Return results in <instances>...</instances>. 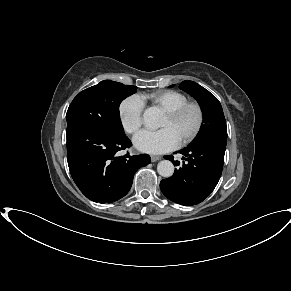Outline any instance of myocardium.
Instances as JSON below:
<instances>
[{
    "mask_svg": "<svg viewBox=\"0 0 291 291\" xmlns=\"http://www.w3.org/2000/svg\"><path fill=\"white\" fill-rule=\"evenodd\" d=\"M189 110H194L196 112L197 121H196V125H195L193 131L179 142L178 145L181 147L186 146V145L190 144L191 142H193L200 134V132L203 128L204 119H205L203 107L201 106L200 103H198L196 101H187V102L183 103L182 105L178 106L177 108H174L172 110L165 112V115L171 121H175V120L179 119L180 117H182Z\"/></svg>",
    "mask_w": 291,
    "mask_h": 291,
    "instance_id": "myocardium-1",
    "label": "myocardium"
}]
</instances>
